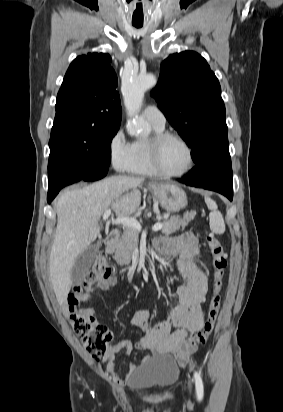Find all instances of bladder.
<instances>
[{"label":"bladder","instance_id":"1","mask_svg":"<svg viewBox=\"0 0 283 412\" xmlns=\"http://www.w3.org/2000/svg\"><path fill=\"white\" fill-rule=\"evenodd\" d=\"M179 367L171 357L149 361L129 375L131 386L141 389L166 388L178 378Z\"/></svg>","mask_w":283,"mask_h":412}]
</instances>
